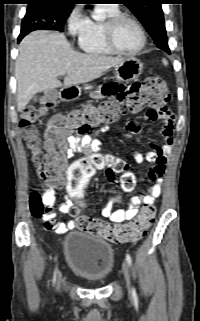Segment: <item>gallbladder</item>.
Segmentation results:
<instances>
[{
    "instance_id": "obj_1",
    "label": "gallbladder",
    "mask_w": 200,
    "mask_h": 321,
    "mask_svg": "<svg viewBox=\"0 0 200 321\" xmlns=\"http://www.w3.org/2000/svg\"><path fill=\"white\" fill-rule=\"evenodd\" d=\"M37 99H38L37 96H34V97L32 98V101L35 102V101H37Z\"/></svg>"
}]
</instances>
